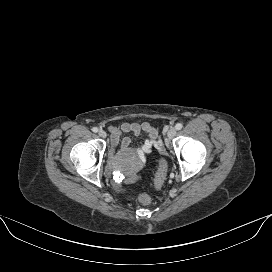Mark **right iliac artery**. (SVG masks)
<instances>
[{"label": "right iliac artery", "instance_id": "right-iliac-artery-1", "mask_svg": "<svg viewBox=\"0 0 272 272\" xmlns=\"http://www.w3.org/2000/svg\"><path fill=\"white\" fill-rule=\"evenodd\" d=\"M92 131L96 133V132H98V128L97 127H93Z\"/></svg>", "mask_w": 272, "mask_h": 272}]
</instances>
